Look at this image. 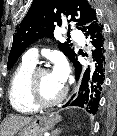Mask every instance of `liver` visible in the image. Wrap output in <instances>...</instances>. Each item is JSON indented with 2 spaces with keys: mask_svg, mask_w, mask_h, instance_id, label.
Segmentation results:
<instances>
[{
  "mask_svg": "<svg viewBox=\"0 0 117 136\" xmlns=\"http://www.w3.org/2000/svg\"><path fill=\"white\" fill-rule=\"evenodd\" d=\"M34 118L20 115H13L6 118L3 122L1 135L14 136L21 128L28 125Z\"/></svg>",
  "mask_w": 117,
  "mask_h": 136,
  "instance_id": "6515ba94",
  "label": "liver"
}]
</instances>
